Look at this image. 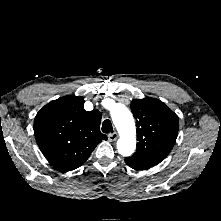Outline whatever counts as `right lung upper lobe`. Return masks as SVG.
<instances>
[{
  "label": "right lung upper lobe",
  "mask_w": 221,
  "mask_h": 221,
  "mask_svg": "<svg viewBox=\"0 0 221 221\" xmlns=\"http://www.w3.org/2000/svg\"><path fill=\"white\" fill-rule=\"evenodd\" d=\"M101 114L86 111L84 98L64 96L45 105L34 119L38 146L56 169L68 172L81 166L101 140Z\"/></svg>",
  "instance_id": "1"
}]
</instances>
